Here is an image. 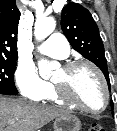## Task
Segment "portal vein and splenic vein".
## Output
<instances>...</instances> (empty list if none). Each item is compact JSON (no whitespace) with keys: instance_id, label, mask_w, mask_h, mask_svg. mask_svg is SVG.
Segmentation results:
<instances>
[{"instance_id":"portal-vein-and-splenic-vein-1","label":"portal vein and splenic vein","mask_w":117,"mask_h":131,"mask_svg":"<svg viewBox=\"0 0 117 131\" xmlns=\"http://www.w3.org/2000/svg\"><path fill=\"white\" fill-rule=\"evenodd\" d=\"M9 123H10V124H13V123H14V121H9Z\"/></svg>"}]
</instances>
